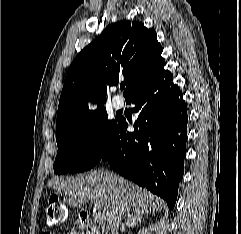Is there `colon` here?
<instances>
[{"instance_id":"1","label":"colon","mask_w":241,"mask_h":234,"mask_svg":"<svg viewBox=\"0 0 241 234\" xmlns=\"http://www.w3.org/2000/svg\"><path fill=\"white\" fill-rule=\"evenodd\" d=\"M67 218V210L56 196H51L47 201L45 223L48 227H55Z\"/></svg>"}]
</instances>
